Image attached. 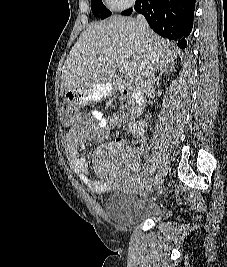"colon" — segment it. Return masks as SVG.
I'll return each instance as SVG.
<instances>
[{
  "instance_id": "1",
  "label": "colon",
  "mask_w": 227,
  "mask_h": 267,
  "mask_svg": "<svg viewBox=\"0 0 227 267\" xmlns=\"http://www.w3.org/2000/svg\"><path fill=\"white\" fill-rule=\"evenodd\" d=\"M72 104H66L63 107L62 114H61V120L64 126H69L71 125L75 119H83L84 115L83 114H75L73 111Z\"/></svg>"
}]
</instances>
